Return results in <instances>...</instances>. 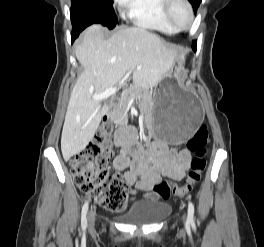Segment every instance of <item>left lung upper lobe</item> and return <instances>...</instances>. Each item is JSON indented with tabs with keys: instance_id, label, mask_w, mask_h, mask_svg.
Returning <instances> with one entry per match:
<instances>
[{
	"instance_id": "5c2ea615",
	"label": "left lung upper lobe",
	"mask_w": 264,
	"mask_h": 247,
	"mask_svg": "<svg viewBox=\"0 0 264 247\" xmlns=\"http://www.w3.org/2000/svg\"><path fill=\"white\" fill-rule=\"evenodd\" d=\"M194 8V12L196 13L197 8L199 7L202 0H189Z\"/></svg>"
}]
</instances>
